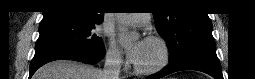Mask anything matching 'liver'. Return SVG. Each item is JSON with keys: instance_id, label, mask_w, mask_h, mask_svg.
I'll return each instance as SVG.
<instances>
[{"instance_id": "6515ba94", "label": "liver", "mask_w": 255, "mask_h": 79, "mask_svg": "<svg viewBox=\"0 0 255 79\" xmlns=\"http://www.w3.org/2000/svg\"><path fill=\"white\" fill-rule=\"evenodd\" d=\"M33 79H103L102 71L72 60H57L39 68Z\"/></svg>"}]
</instances>
